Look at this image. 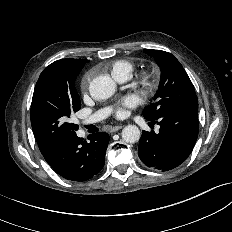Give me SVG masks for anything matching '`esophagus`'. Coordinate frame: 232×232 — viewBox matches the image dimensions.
Wrapping results in <instances>:
<instances>
[{
	"label": "esophagus",
	"instance_id": "obj_1",
	"mask_svg": "<svg viewBox=\"0 0 232 232\" xmlns=\"http://www.w3.org/2000/svg\"><path fill=\"white\" fill-rule=\"evenodd\" d=\"M123 125H118L110 128V132L114 133L117 132L118 130L122 129Z\"/></svg>",
	"mask_w": 232,
	"mask_h": 232
}]
</instances>
